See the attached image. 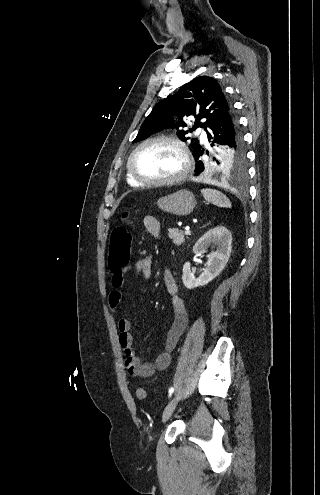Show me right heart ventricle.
<instances>
[{
  "mask_svg": "<svg viewBox=\"0 0 320 495\" xmlns=\"http://www.w3.org/2000/svg\"><path fill=\"white\" fill-rule=\"evenodd\" d=\"M126 180L128 182L129 185L133 186V187H138L140 186V184H138L131 176L130 174L128 173V170H126Z\"/></svg>",
  "mask_w": 320,
  "mask_h": 495,
  "instance_id": "1",
  "label": "right heart ventricle"
}]
</instances>
